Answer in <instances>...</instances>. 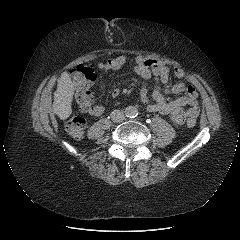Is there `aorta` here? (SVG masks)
<instances>
[{
  "label": "aorta",
  "mask_w": 240,
  "mask_h": 240,
  "mask_svg": "<svg viewBox=\"0 0 240 240\" xmlns=\"http://www.w3.org/2000/svg\"><path fill=\"white\" fill-rule=\"evenodd\" d=\"M125 115L129 118H134L138 115V109L135 106H128L125 109Z\"/></svg>",
  "instance_id": "762f6f07"
}]
</instances>
